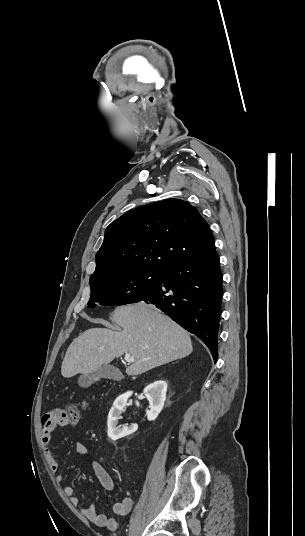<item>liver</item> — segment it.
Returning a JSON list of instances; mask_svg holds the SVG:
<instances>
[{
  "label": "liver",
  "mask_w": 305,
  "mask_h": 536,
  "mask_svg": "<svg viewBox=\"0 0 305 536\" xmlns=\"http://www.w3.org/2000/svg\"><path fill=\"white\" fill-rule=\"evenodd\" d=\"M123 332L108 328H91L70 344L61 366L63 378L76 374H94L102 364L130 354L135 362L126 368L128 376H139L162 364L186 358L193 352L186 330L160 310L143 302L119 306L111 318ZM104 324L105 320H92Z\"/></svg>",
  "instance_id": "liver-1"
}]
</instances>
